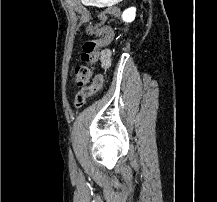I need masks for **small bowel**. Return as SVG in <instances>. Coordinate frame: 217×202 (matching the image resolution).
I'll return each mask as SVG.
<instances>
[{
	"label": "small bowel",
	"mask_w": 217,
	"mask_h": 202,
	"mask_svg": "<svg viewBox=\"0 0 217 202\" xmlns=\"http://www.w3.org/2000/svg\"><path fill=\"white\" fill-rule=\"evenodd\" d=\"M101 45L103 44L101 43ZM100 57L106 66H108L111 63V52L109 50L101 52Z\"/></svg>",
	"instance_id": "obj_1"
}]
</instances>
